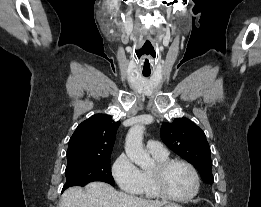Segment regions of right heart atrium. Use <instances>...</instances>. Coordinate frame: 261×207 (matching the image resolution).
Listing matches in <instances>:
<instances>
[{
    "label": "right heart atrium",
    "instance_id": "right-heart-atrium-1",
    "mask_svg": "<svg viewBox=\"0 0 261 207\" xmlns=\"http://www.w3.org/2000/svg\"><path fill=\"white\" fill-rule=\"evenodd\" d=\"M112 176L119 188L129 194H140L143 188L142 172L126 154H120L112 165Z\"/></svg>",
    "mask_w": 261,
    "mask_h": 207
}]
</instances>
